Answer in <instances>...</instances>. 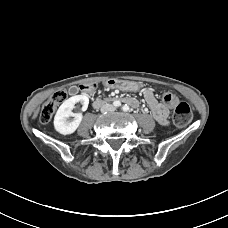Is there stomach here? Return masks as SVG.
Masks as SVG:
<instances>
[{
    "label": "stomach",
    "mask_w": 228,
    "mask_h": 228,
    "mask_svg": "<svg viewBox=\"0 0 228 228\" xmlns=\"http://www.w3.org/2000/svg\"><path fill=\"white\" fill-rule=\"evenodd\" d=\"M141 86L142 85L138 82H129L127 84L128 89L131 91H138L141 88Z\"/></svg>",
    "instance_id": "obj_1"
}]
</instances>
